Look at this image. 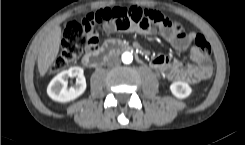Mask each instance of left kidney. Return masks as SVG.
<instances>
[{
  "mask_svg": "<svg viewBox=\"0 0 245 145\" xmlns=\"http://www.w3.org/2000/svg\"><path fill=\"white\" fill-rule=\"evenodd\" d=\"M170 90L179 99H184L192 93V88L187 83L181 81L172 83Z\"/></svg>",
  "mask_w": 245,
  "mask_h": 145,
  "instance_id": "left-kidney-1",
  "label": "left kidney"
}]
</instances>
